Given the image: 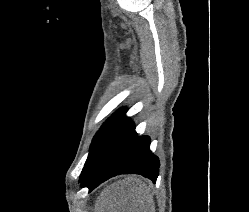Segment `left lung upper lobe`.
<instances>
[{"label":"left lung upper lobe","mask_w":249,"mask_h":212,"mask_svg":"<svg viewBox=\"0 0 249 212\" xmlns=\"http://www.w3.org/2000/svg\"><path fill=\"white\" fill-rule=\"evenodd\" d=\"M126 112V109H120L118 110L115 114H113L103 125L102 127L99 129V131L96 133L95 137L93 138L91 147H90V151H89V155L88 158L86 160L85 163V167L90 159V157L93 155L97 145L99 144V142L101 141V139L103 138V136L107 133V131L114 125V123L119 120Z\"/></svg>","instance_id":"5c2ea615"}]
</instances>
